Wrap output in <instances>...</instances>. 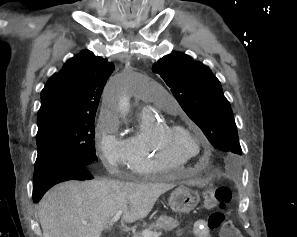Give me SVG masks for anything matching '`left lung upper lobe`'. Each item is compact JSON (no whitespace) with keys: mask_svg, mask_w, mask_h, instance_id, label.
<instances>
[{"mask_svg":"<svg viewBox=\"0 0 297 237\" xmlns=\"http://www.w3.org/2000/svg\"><path fill=\"white\" fill-rule=\"evenodd\" d=\"M152 71L162 77L182 109L216 149L228 160L242 155L230 103L207 66L175 52L156 62Z\"/></svg>","mask_w":297,"mask_h":237,"instance_id":"5c2ea615","label":"left lung upper lobe"}]
</instances>
